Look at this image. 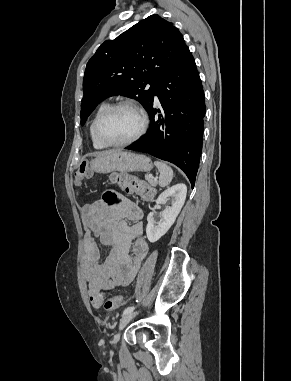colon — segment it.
Here are the masks:
<instances>
[{
    "label": "colon",
    "instance_id": "obj_1",
    "mask_svg": "<svg viewBox=\"0 0 291 381\" xmlns=\"http://www.w3.org/2000/svg\"><path fill=\"white\" fill-rule=\"evenodd\" d=\"M86 172V166L80 165L75 171L74 177L75 181H80ZM113 182L118 184L122 189L128 193L135 194L143 199H150L153 194V188L146 182L132 178L123 174H117L113 177ZM122 306V299L119 295H113L109 297L104 304V308L107 311H114Z\"/></svg>",
    "mask_w": 291,
    "mask_h": 381
}]
</instances>
